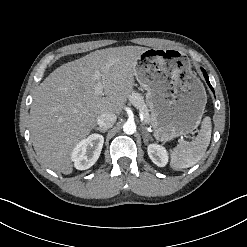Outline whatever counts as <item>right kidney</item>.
<instances>
[{"mask_svg": "<svg viewBox=\"0 0 247 247\" xmlns=\"http://www.w3.org/2000/svg\"><path fill=\"white\" fill-rule=\"evenodd\" d=\"M103 143L104 137L100 134H92L81 140L71 154L76 169L86 170L92 167L100 156Z\"/></svg>", "mask_w": 247, "mask_h": 247, "instance_id": "right-kidney-1", "label": "right kidney"}]
</instances>
